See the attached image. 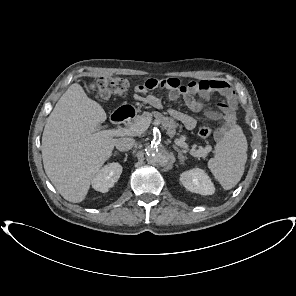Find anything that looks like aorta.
Masks as SVG:
<instances>
[{"label":"aorta","mask_w":296,"mask_h":296,"mask_svg":"<svg viewBox=\"0 0 296 296\" xmlns=\"http://www.w3.org/2000/svg\"><path fill=\"white\" fill-rule=\"evenodd\" d=\"M146 159L148 163L156 167H163L169 163L168 151L158 144H147L145 147Z\"/></svg>","instance_id":"762f6f07"}]
</instances>
